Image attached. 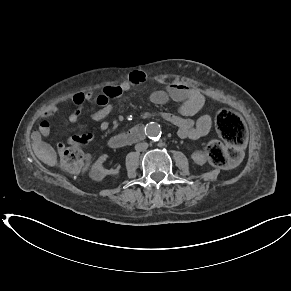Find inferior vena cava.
Returning a JSON list of instances; mask_svg holds the SVG:
<instances>
[{
	"label": "inferior vena cava",
	"mask_w": 291,
	"mask_h": 291,
	"mask_svg": "<svg viewBox=\"0 0 291 291\" xmlns=\"http://www.w3.org/2000/svg\"><path fill=\"white\" fill-rule=\"evenodd\" d=\"M147 148H148V143H146V142L138 143V144L135 145V149H136L137 151H144V150H146Z\"/></svg>",
	"instance_id": "602c4592"
}]
</instances>
